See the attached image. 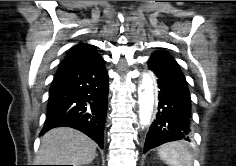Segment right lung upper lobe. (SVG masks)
Segmentation results:
<instances>
[{
	"label": "right lung upper lobe",
	"instance_id": "cb5924a9",
	"mask_svg": "<svg viewBox=\"0 0 236 166\" xmlns=\"http://www.w3.org/2000/svg\"><path fill=\"white\" fill-rule=\"evenodd\" d=\"M102 60L103 58L97 53L95 46L79 43L69 50L64 60L60 63L59 69L87 67Z\"/></svg>",
	"mask_w": 236,
	"mask_h": 166
}]
</instances>
